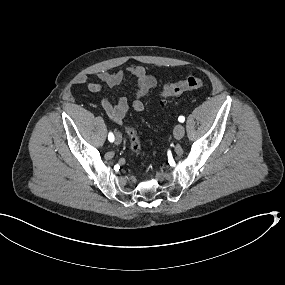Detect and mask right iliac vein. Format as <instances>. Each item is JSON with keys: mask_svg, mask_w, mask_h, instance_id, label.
I'll return each mask as SVG.
<instances>
[{"mask_svg": "<svg viewBox=\"0 0 285 285\" xmlns=\"http://www.w3.org/2000/svg\"><path fill=\"white\" fill-rule=\"evenodd\" d=\"M121 141H122V136L119 133H117L115 138V143L120 144Z\"/></svg>", "mask_w": 285, "mask_h": 285, "instance_id": "1", "label": "right iliac vein"}]
</instances>
